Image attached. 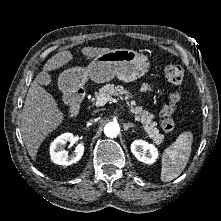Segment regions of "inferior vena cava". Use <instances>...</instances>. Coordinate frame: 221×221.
Here are the masks:
<instances>
[{
	"instance_id": "inferior-vena-cava-1",
	"label": "inferior vena cava",
	"mask_w": 221,
	"mask_h": 221,
	"mask_svg": "<svg viewBox=\"0 0 221 221\" xmlns=\"http://www.w3.org/2000/svg\"><path fill=\"white\" fill-rule=\"evenodd\" d=\"M96 121H97L96 119H91V120L88 122L87 125H88V126H89V125H92V124L95 123Z\"/></svg>"
}]
</instances>
